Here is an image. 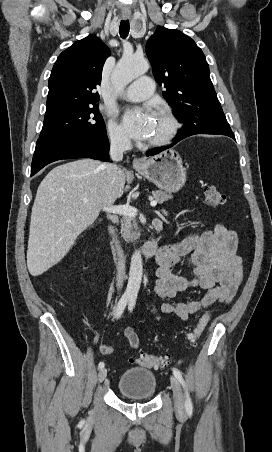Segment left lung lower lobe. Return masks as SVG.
I'll return each instance as SVG.
<instances>
[{
	"label": "left lung lower lobe",
	"mask_w": 272,
	"mask_h": 452,
	"mask_svg": "<svg viewBox=\"0 0 272 452\" xmlns=\"http://www.w3.org/2000/svg\"><path fill=\"white\" fill-rule=\"evenodd\" d=\"M195 134H209V133H204V132H202V131L194 130V129H183V130L180 131V132L178 133V135L175 137V142H174L173 144H171V145H169V146H166V147H159V148L151 149V150H149V151L146 153V155H147V156H151V155L158 154V153H160L161 151L166 150V149L172 147L174 144H176V143H177L178 141H180L181 139H183V138H185V137H188V136H191V135H195ZM220 134H222V135H227V136H229V137H231V138H234V134H233L232 131L223 132V133H220Z\"/></svg>",
	"instance_id": "left-lung-lower-lobe-1"
}]
</instances>
